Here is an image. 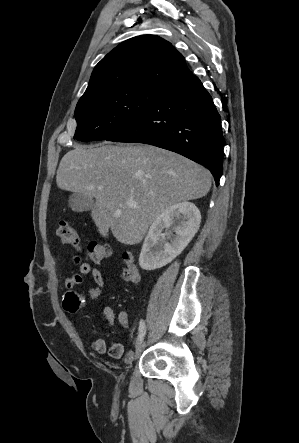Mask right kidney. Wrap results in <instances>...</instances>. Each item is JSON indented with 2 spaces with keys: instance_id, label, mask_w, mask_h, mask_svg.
<instances>
[{
  "instance_id": "right-kidney-1",
  "label": "right kidney",
  "mask_w": 299,
  "mask_h": 443,
  "mask_svg": "<svg viewBox=\"0 0 299 443\" xmlns=\"http://www.w3.org/2000/svg\"><path fill=\"white\" fill-rule=\"evenodd\" d=\"M200 222V211L191 202H181L165 209L153 221L144 240L139 257L141 268L151 271L170 263L192 240ZM163 229L169 231L170 243L160 241ZM172 232L176 235L173 236Z\"/></svg>"
}]
</instances>
